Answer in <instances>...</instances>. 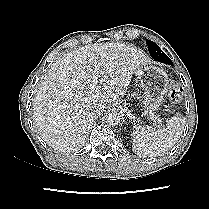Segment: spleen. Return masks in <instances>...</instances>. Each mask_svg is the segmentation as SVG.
<instances>
[{"instance_id": "obj_1", "label": "spleen", "mask_w": 209, "mask_h": 209, "mask_svg": "<svg viewBox=\"0 0 209 209\" xmlns=\"http://www.w3.org/2000/svg\"><path fill=\"white\" fill-rule=\"evenodd\" d=\"M185 117L175 115L167 120L164 128L154 129L151 126L138 127L133 133L132 150L142 157H156L172 148L185 127Z\"/></svg>"}]
</instances>
